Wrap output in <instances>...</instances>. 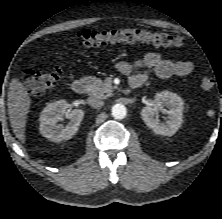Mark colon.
<instances>
[{
    "mask_svg": "<svg viewBox=\"0 0 222 219\" xmlns=\"http://www.w3.org/2000/svg\"><path fill=\"white\" fill-rule=\"evenodd\" d=\"M113 42H145L159 47L177 48L183 43L179 36L167 33H152L141 29H106L83 30L77 34V43L80 46L92 47ZM63 69L56 66L49 71L27 69L23 73L22 81L25 87L34 95H42L53 88L61 79ZM215 81L211 77H204L200 82L203 91L213 89Z\"/></svg>",
    "mask_w": 222,
    "mask_h": 219,
    "instance_id": "1",
    "label": "colon"
}]
</instances>
